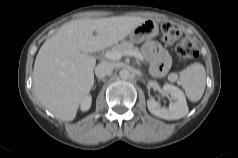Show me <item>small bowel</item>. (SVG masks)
Masks as SVG:
<instances>
[{
    "label": "small bowel",
    "instance_id": "c3829d8e",
    "mask_svg": "<svg viewBox=\"0 0 238 158\" xmlns=\"http://www.w3.org/2000/svg\"><path fill=\"white\" fill-rule=\"evenodd\" d=\"M144 52L149 60L153 75L161 77L168 73L171 67V57L158 42H147L144 46Z\"/></svg>",
    "mask_w": 238,
    "mask_h": 158
}]
</instances>
